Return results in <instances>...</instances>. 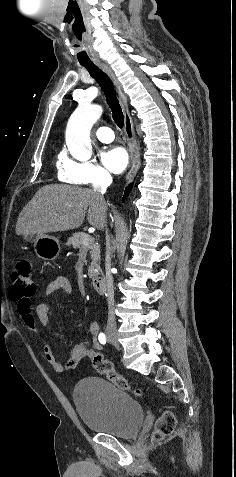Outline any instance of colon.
<instances>
[{"mask_svg": "<svg viewBox=\"0 0 236 477\" xmlns=\"http://www.w3.org/2000/svg\"><path fill=\"white\" fill-rule=\"evenodd\" d=\"M36 292V285L31 275V265L27 260L19 261L12 271V284L9 296L18 304V310L24 311L31 308V299ZM95 370L105 375L115 386L126 391H133L136 395H141L140 389H135L129 381L116 373L110 361L103 359L100 355H94L90 359ZM176 425L173 414L165 413L157 423L155 438L157 440L169 436Z\"/></svg>", "mask_w": 236, "mask_h": 477, "instance_id": "obj_1", "label": "colon"}]
</instances>
